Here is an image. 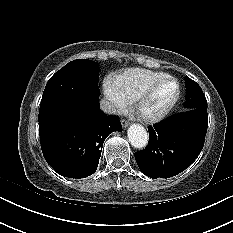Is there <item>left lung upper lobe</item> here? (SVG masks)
I'll list each match as a JSON object with an SVG mask.
<instances>
[{
    "label": "left lung upper lobe",
    "mask_w": 233,
    "mask_h": 233,
    "mask_svg": "<svg viewBox=\"0 0 233 233\" xmlns=\"http://www.w3.org/2000/svg\"><path fill=\"white\" fill-rule=\"evenodd\" d=\"M187 95L184 106L188 109L207 107V100L199 85L186 77Z\"/></svg>",
    "instance_id": "1"
}]
</instances>
